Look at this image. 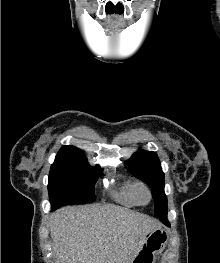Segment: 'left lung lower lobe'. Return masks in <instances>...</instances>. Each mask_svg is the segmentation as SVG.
<instances>
[{
  "label": "left lung lower lobe",
  "instance_id": "0a47b994",
  "mask_svg": "<svg viewBox=\"0 0 220 263\" xmlns=\"http://www.w3.org/2000/svg\"><path fill=\"white\" fill-rule=\"evenodd\" d=\"M159 219H160L161 222H162L163 224H165L166 226H170V223H169L168 220H167V215L164 216V217H159Z\"/></svg>",
  "mask_w": 220,
  "mask_h": 263
}]
</instances>
